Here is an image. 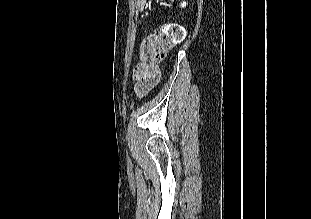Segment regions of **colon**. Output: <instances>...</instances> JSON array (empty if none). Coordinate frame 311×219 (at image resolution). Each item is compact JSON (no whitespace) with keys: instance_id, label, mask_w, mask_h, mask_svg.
<instances>
[{"instance_id":"colon-1","label":"colon","mask_w":311,"mask_h":219,"mask_svg":"<svg viewBox=\"0 0 311 219\" xmlns=\"http://www.w3.org/2000/svg\"><path fill=\"white\" fill-rule=\"evenodd\" d=\"M185 37L182 26L176 23L163 25L157 33H152L143 38L140 44L142 63L138 67L141 72L158 77L156 63L162 61L167 52L180 43Z\"/></svg>"}]
</instances>
